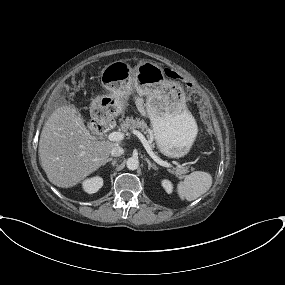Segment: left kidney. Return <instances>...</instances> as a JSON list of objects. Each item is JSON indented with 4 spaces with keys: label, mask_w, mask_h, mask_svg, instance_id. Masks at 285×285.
Masks as SVG:
<instances>
[{
    "label": "left kidney",
    "mask_w": 285,
    "mask_h": 285,
    "mask_svg": "<svg viewBox=\"0 0 285 285\" xmlns=\"http://www.w3.org/2000/svg\"><path fill=\"white\" fill-rule=\"evenodd\" d=\"M162 186L168 194H170L172 192L173 187H172V184L169 180H163Z\"/></svg>",
    "instance_id": "obj_1"
}]
</instances>
